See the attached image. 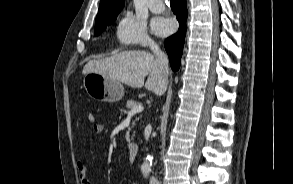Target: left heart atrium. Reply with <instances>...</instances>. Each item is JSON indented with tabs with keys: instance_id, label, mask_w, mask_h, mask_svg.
I'll list each match as a JSON object with an SVG mask.
<instances>
[{
	"instance_id": "39dd6f15",
	"label": "left heart atrium",
	"mask_w": 293,
	"mask_h": 184,
	"mask_svg": "<svg viewBox=\"0 0 293 184\" xmlns=\"http://www.w3.org/2000/svg\"><path fill=\"white\" fill-rule=\"evenodd\" d=\"M153 30L156 34L164 36L173 30V25L168 19H158L153 24Z\"/></svg>"
}]
</instances>
